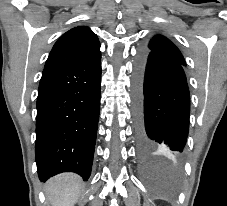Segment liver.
<instances>
[{
	"instance_id": "liver-1",
	"label": "liver",
	"mask_w": 227,
	"mask_h": 206,
	"mask_svg": "<svg viewBox=\"0 0 227 206\" xmlns=\"http://www.w3.org/2000/svg\"><path fill=\"white\" fill-rule=\"evenodd\" d=\"M82 191V181L73 173H63L51 178L45 193L52 206H74Z\"/></svg>"
}]
</instances>
